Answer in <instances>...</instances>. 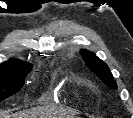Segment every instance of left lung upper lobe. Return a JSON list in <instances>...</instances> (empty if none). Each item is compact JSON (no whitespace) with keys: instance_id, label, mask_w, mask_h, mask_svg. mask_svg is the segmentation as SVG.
<instances>
[{"instance_id":"left-lung-upper-lobe-1","label":"left lung upper lobe","mask_w":133,"mask_h":118,"mask_svg":"<svg viewBox=\"0 0 133 118\" xmlns=\"http://www.w3.org/2000/svg\"><path fill=\"white\" fill-rule=\"evenodd\" d=\"M80 53L85 64L93 73H95L108 87L117 89V85L109 68L102 60L86 49H81Z\"/></svg>"}]
</instances>
